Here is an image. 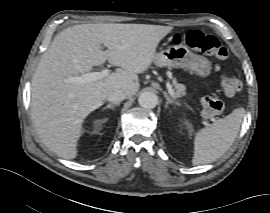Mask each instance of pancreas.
I'll return each mask as SVG.
<instances>
[{
	"mask_svg": "<svg viewBox=\"0 0 270 213\" xmlns=\"http://www.w3.org/2000/svg\"><path fill=\"white\" fill-rule=\"evenodd\" d=\"M173 85L175 88V96L176 97H181V96L186 95L185 86L177 83L176 79H173Z\"/></svg>",
	"mask_w": 270,
	"mask_h": 213,
	"instance_id": "cf45deb5",
	"label": "pancreas"
}]
</instances>
